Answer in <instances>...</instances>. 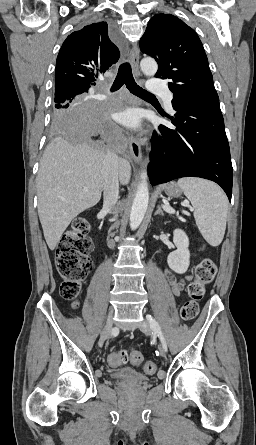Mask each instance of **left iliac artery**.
<instances>
[{"mask_svg":"<svg viewBox=\"0 0 256 445\" xmlns=\"http://www.w3.org/2000/svg\"><path fill=\"white\" fill-rule=\"evenodd\" d=\"M147 320L150 323V326L154 333L157 334V336L159 337L162 347L165 351H167V344L158 322L151 315H147Z\"/></svg>","mask_w":256,"mask_h":445,"instance_id":"left-iliac-artery-1","label":"left iliac artery"}]
</instances>
